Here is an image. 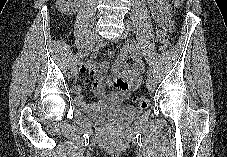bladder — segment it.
<instances>
[{
  "mask_svg": "<svg viewBox=\"0 0 227 157\" xmlns=\"http://www.w3.org/2000/svg\"><path fill=\"white\" fill-rule=\"evenodd\" d=\"M139 107L126 104H110L106 107L93 111L90 116L105 124L123 125L132 122L142 114Z\"/></svg>",
  "mask_w": 227,
  "mask_h": 157,
  "instance_id": "31cf9c89",
  "label": "bladder"
}]
</instances>
